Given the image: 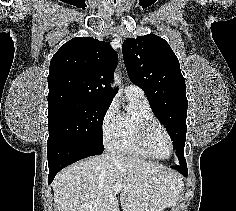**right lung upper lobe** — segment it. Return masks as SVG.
Here are the masks:
<instances>
[{"label": "right lung upper lobe", "mask_w": 236, "mask_h": 211, "mask_svg": "<svg viewBox=\"0 0 236 211\" xmlns=\"http://www.w3.org/2000/svg\"><path fill=\"white\" fill-rule=\"evenodd\" d=\"M116 65L117 53L110 43L92 37L66 42L50 61L48 107L68 101L111 104Z\"/></svg>", "instance_id": "cb5924a9"}]
</instances>
